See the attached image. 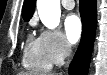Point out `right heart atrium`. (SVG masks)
Returning <instances> with one entry per match:
<instances>
[{"label":"right heart atrium","mask_w":107,"mask_h":75,"mask_svg":"<svg viewBox=\"0 0 107 75\" xmlns=\"http://www.w3.org/2000/svg\"><path fill=\"white\" fill-rule=\"evenodd\" d=\"M39 39L52 65H61L72 53L69 42L58 30H43Z\"/></svg>","instance_id":"d8ad5b80"}]
</instances>
